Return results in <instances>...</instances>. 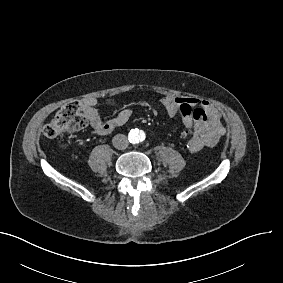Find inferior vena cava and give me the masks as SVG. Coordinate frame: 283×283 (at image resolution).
Here are the masks:
<instances>
[{
    "label": "inferior vena cava",
    "instance_id": "1",
    "mask_svg": "<svg viewBox=\"0 0 283 283\" xmlns=\"http://www.w3.org/2000/svg\"><path fill=\"white\" fill-rule=\"evenodd\" d=\"M112 143H113V146L118 150H125L129 146V142L127 140V137L124 134L115 135L113 137Z\"/></svg>",
    "mask_w": 283,
    "mask_h": 283
}]
</instances>
